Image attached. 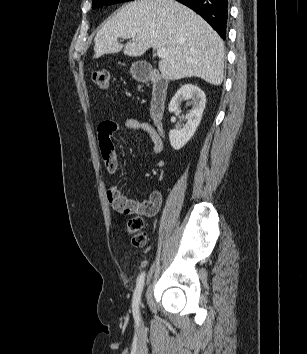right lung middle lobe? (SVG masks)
I'll return each instance as SVG.
<instances>
[{"instance_id": "right-lung-middle-lobe-1", "label": "right lung middle lobe", "mask_w": 307, "mask_h": 354, "mask_svg": "<svg viewBox=\"0 0 307 354\" xmlns=\"http://www.w3.org/2000/svg\"><path fill=\"white\" fill-rule=\"evenodd\" d=\"M127 1H132V0H93L92 8L95 9L98 7H102L104 5H111V4L127 2Z\"/></svg>"}]
</instances>
